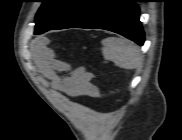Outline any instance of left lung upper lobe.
I'll return each mask as SVG.
<instances>
[{"label": "left lung upper lobe", "instance_id": "left-lung-upper-lobe-1", "mask_svg": "<svg viewBox=\"0 0 182 140\" xmlns=\"http://www.w3.org/2000/svg\"><path fill=\"white\" fill-rule=\"evenodd\" d=\"M105 0H42L35 17V34L69 28Z\"/></svg>", "mask_w": 182, "mask_h": 140}]
</instances>
